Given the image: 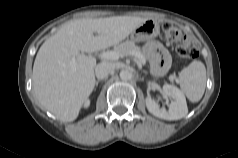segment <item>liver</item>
Listing matches in <instances>:
<instances>
[{"label":"liver","instance_id":"obj_1","mask_svg":"<svg viewBox=\"0 0 238 158\" xmlns=\"http://www.w3.org/2000/svg\"><path fill=\"white\" fill-rule=\"evenodd\" d=\"M145 20L114 16L64 23L42 44L34 61L33 90L41 106L61 121H74L95 86L96 59L81 53L117 45Z\"/></svg>","mask_w":238,"mask_h":158}]
</instances>
